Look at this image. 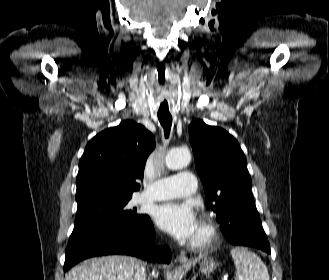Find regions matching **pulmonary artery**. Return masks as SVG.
<instances>
[{
	"label": "pulmonary artery",
	"mask_w": 329,
	"mask_h": 280,
	"mask_svg": "<svg viewBox=\"0 0 329 280\" xmlns=\"http://www.w3.org/2000/svg\"><path fill=\"white\" fill-rule=\"evenodd\" d=\"M196 190V178L188 171L160 178L148 186L142 197L147 200H166L192 195Z\"/></svg>",
	"instance_id": "pulmonary-artery-1"
}]
</instances>
